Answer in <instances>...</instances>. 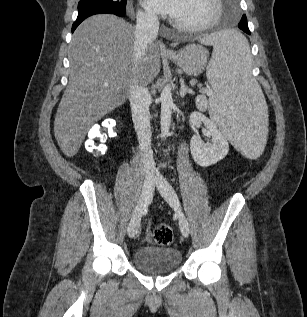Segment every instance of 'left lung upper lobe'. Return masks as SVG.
I'll list each match as a JSON object with an SVG mask.
<instances>
[{"label": "left lung upper lobe", "instance_id": "left-lung-upper-lobe-1", "mask_svg": "<svg viewBox=\"0 0 307 317\" xmlns=\"http://www.w3.org/2000/svg\"><path fill=\"white\" fill-rule=\"evenodd\" d=\"M242 20H247V18H246V16L245 15H243L242 16V18H241V20L240 21H242ZM240 23V22H239Z\"/></svg>", "mask_w": 307, "mask_h": 317}]
</instances>
